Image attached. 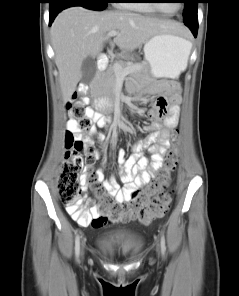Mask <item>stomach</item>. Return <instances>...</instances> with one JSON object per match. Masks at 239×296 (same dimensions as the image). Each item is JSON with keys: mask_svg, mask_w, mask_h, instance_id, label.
<instances>
[{"mask_svg": "<svg viewBox=\"0 0 239 296\" xmlns=\"http://www.w3.org/2000/svg\"><path fill=\"white\" fill-rule=\"evenodd\" d=\"M191 42L174 33H159L144 45L149 73L156 79H176L186 68Z\"/></svg>", "mask_w": 239, "mask_h": 296, "instance_id": "1", "label": "stomach"}]
</instances>
